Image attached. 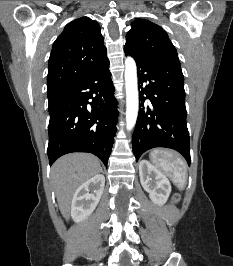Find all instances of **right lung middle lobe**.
Instances as JSON below:
<instances>
[{
    "label": "right lung middle lobe",
    "mask_w": 233,
    "mask_h": 266,
    "mask_svg": "<svg viewBox=\"0 0 233 266\" xmlns=\"http://www.w3.org/2000/svg\"><path fill=\"white\" fill-rule=\"evenodd\" d=\"M56 94H57V92L48 93V99L54 97Z\"/></svg>",
    "instance_id": "1"
}]
</instances>
